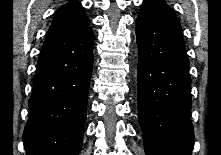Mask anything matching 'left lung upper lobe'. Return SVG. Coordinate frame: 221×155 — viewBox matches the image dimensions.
I'll list each match as a JSON object with an SVG mask.
<instances>
[{
  "instance_id": "1",
  "label": "left lung upper lobe",
  "mask_w": 221,
  "mask_h": 155,
  "mask_svg": "<svg viewBox=\"0 0 221 155\" xmlns=\"http://www.w3.org/2000/svg\"><path fill=\"white\" fill-rule=\"evenodd\" d=\"M142 4L155 6L175 15L173 9H171L164 0H144Z\"/></svg>"
}]
</instances>
